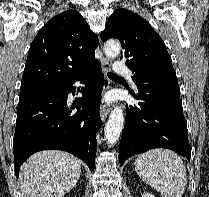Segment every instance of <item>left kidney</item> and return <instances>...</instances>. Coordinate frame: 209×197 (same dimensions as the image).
I'll use <instances>...</instances> for the list:
<instances>
[{"mask_svg": "<svg viewBox=\"0 0 209 197\" xmlns=\"http://www.w3.org/2000/svg\"><path fill=\"white\" fill-rule=\"evenodd\" d=\"M141 197H155V196L150 193H143Z\"/></svg>", "mask_w": 209, "mask_h": 197, "instance_id": "1", "label": "left kidney"}]
</instances>
